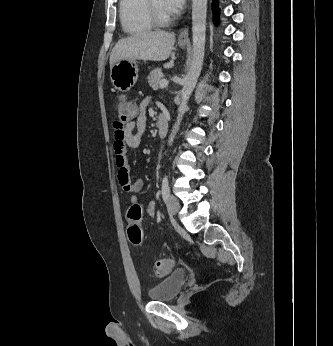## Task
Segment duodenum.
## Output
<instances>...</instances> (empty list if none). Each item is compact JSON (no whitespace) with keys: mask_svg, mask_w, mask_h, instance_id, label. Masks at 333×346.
Listing matches in <instances>:
<instances>
[{"mask_svg":"<svg viewBox=\"0 0 333 346\" xmlns=\"http://www.w3.org/2000/svg\"><path fill=\"white\" fill-rule=\"evenodd\" d=\"M158 134L160 137H165L168 134L169 123L165 115H161L157 122Z\"/></svg>","mask_w":333,"mask_h":346,"instance_id":"obj_1","label":"duodenum"}]
</instances>
